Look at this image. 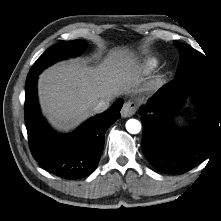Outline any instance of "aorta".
Listing matches in <instances>:
<instances>
[{"label":"aorta","mask_w":221,"mask_h":221,"mask_svg":"<svg viewBox=\"0 0 221 221\" xmlns=\"http://www.w3.org/2000/svg\"><path fill=\"white\" fill-rule=\"evenodd\" d=\"M126 130L130 134H137L141 131V124L138 120L136 119H129L126 122Z\"/></svg>","instance_id":"1"}]
</instances>
